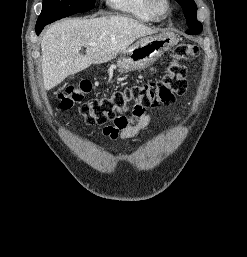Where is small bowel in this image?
Returning a JSON list of instances; mask_svg holds the SVG:
<instances>
[{
    "label": "small bowel",
    "instance_id": "c3829d8e",
    "mask_svg": "<svg viewBox=\"0 0 247 257\" xmlns=\"http://www.w3.org/2000/svg\"><path fill=\"white\" fill-rule=\"evenodd\" d=\"M151 121L150 113L146 109L134 108L132 118H127L124 126L113 122V125L105 126L103 134L112 140H125L134 137Z\"/></svg>",
    "mask_w": 247,
    "mask_h": 257
}]
</instances>
